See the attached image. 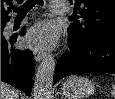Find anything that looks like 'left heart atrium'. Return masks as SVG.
I'll return each instance as SVG.
<instances>
[{
  "mask_svg": "<svg viewBox=\"0 0 115 99\" xmlns=\"http://www.w3.org/2000/svg\"><path fill=\"white\" fill-rule=\"evenodd\" d=\"M56 39L57 34L54 27L47 22H41L28 31L24 43L34 50H44L54 46Z\"/></svg>",
  "mask_w": 115,
  "mask_h": 99,
  "instance_id": "left-heart-atrium-1",
  "label": "left heart atrium"
}]
</instances>
